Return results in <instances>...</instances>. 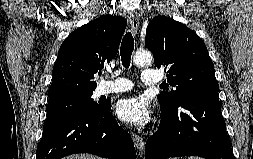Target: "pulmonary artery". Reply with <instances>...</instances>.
I'll use <instances>...</instances> for the list:
<instances>
[{"mask_svg":"<svg viewBox=\"0 0 253 159\" xmlns=\"http://www.w3.org/2000/svg\"><path fill=\"white\" fill-rule=\"evenodd\" d=\"M107 77L113 78V82L104 81L99 85V93L102 95L110 93L125 92L133 87V83L123 77H119L114 73L105 74ZM163 76L160 72L145 69L142 72V82L148 86L160 84Z\"/></svg>","mask_w":253,"mask_h":159,"instance_id":"pulmonary-artery-1","label":"pulmonary artery"}]
</instances>
